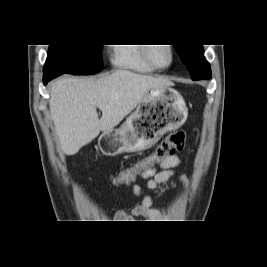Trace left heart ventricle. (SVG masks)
I'll return each instance as SVG.
<instances>
[{"label": "left heart ventricle", "mask_w": 267, "mask_h": 267, "mask_svg": "<svg viewBox=\"0 0 267 267\" xmlns=\"http://www.w3.org/2000/svg\"><path fill=\"white\" fill-rule=\"evenodd\" d=\"M153 57L159 65H166L169 62V52L165 47L159 46L154 49Z\"/></svg>", "instance_id": "1"}]
</instances>
